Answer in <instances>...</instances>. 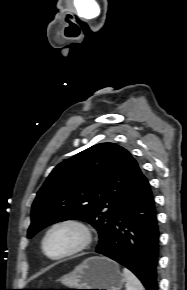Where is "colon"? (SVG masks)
Masks as SVG:
<instances>
[{
	"mask_svg": "<svg viewBox=\"0 0 187 290\" xmlns=\"http://www.w3.org/2000/svg\"><path fill=\"white\" fill-rule=\"evenodd\" d=\"M29 290H74L69 288H55V289H29Z\"/></svg>",
	"mask_w": 187,
	"mask_h": 290,
	"instance_id": "1",
	"label": "colon"
}]
</instances>
